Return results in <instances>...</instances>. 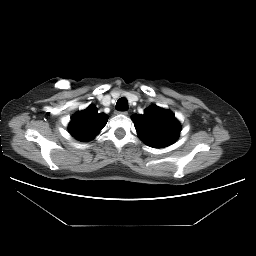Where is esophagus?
<instances>
[{"label": "esophagus", "mask_w": 256, "mask_h": 256, "mask_svg": "<svg viewBox=\"0 0 256 256\" xmlns=\"http://www.w3.org/2000/svg\"><path fill=\"white\" fill-rule=\"evenodd\" d=\"M118 113L123 114V115H125V116H127V115H128V112H127V111L118 112Z\"/></svg>", "instance_id": "1"}]
</instances>
